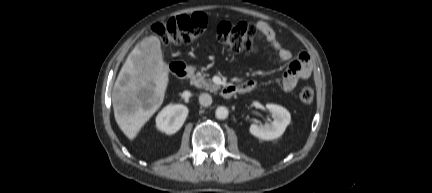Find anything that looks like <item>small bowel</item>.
<instances>
[{
    "label": "small bowel",
    "mask_w": 432,
    "mask_h": 193,
    "mask_svg": "<svg viewBox=\"0 0 432 193\" xmlns=\"http://www.w3.org/2000/svg\"><path fill=\"white\" fill-rule=\"evenodd\" d=\"M256 28L266 38L277 62L283 64L288 63L281 80V86L284 91H292L300 81L307 80L311 76L313 67L308 54L300 53L294 58L293 53L282 46L277 38L275 30L268 22L258 21L256 23ZM255 86L256 83L253 80H246L238 86L240 88L239 92H249L253 90Z\"/></svg>",
    "instance_id": "c3829d8e"
}]
</instances>
